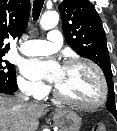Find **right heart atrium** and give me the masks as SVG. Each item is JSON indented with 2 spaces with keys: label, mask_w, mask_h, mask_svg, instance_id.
<instances>
[{
  "label": "right heart atrium",
  "mask_w": 117,
  "mask_h": 131,
  "mask_svg": "<svg viewBox=\"0 0 117 131\" xmlns=\"http://www.w3.org/2000/svg\"><path fill=\"white\" fill-rule=\"evenodd\" d=\"M17 82L20 90L28 96L41 98L47 93V87L39 81L19 77Z\"/></svg>",
  "instance_id": "right-heart-atrium-1"
}]
</instances>
